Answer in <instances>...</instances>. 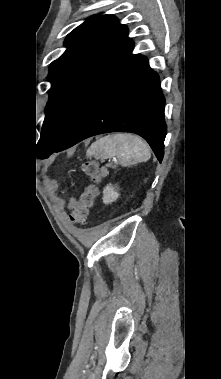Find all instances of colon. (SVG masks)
I'll return each mask as SVG.
<instances>
[{
    "label": "colon",
    "mask_w": 221,
    "mask_h": 379,
    "mask_svg": "<svg viewBox=\"0 0 221 379\" xmlns=\"http://www.w3.org/2000/svg\"><path fill=\"white\" fill-rule=\"evenodd\" d=\"M81 168L90 182L84 187L83 193L73 206L70 215V220L78 225L85 223L89 211L99 195V184L105 176V171L95 161H86Z\"/></svg>",
    "instance_id": "obj_1"
}]
</instances>
